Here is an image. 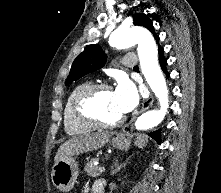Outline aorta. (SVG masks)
<instances>
[{"mask_svg":"<svg viewBox=\"0 0 221 193\" xmlns=\"http://www.w3.org/2000/svg\"><path fill=\"white\" fill-rule=\"evenodd\" d=\"M109 43L117 49L138 44L137 51L142 73L158 98L160 109L151 110L139 116L135 122V128L147 130L157 126L167 113L169 100L166 81L158 64V50L153 36L140 27L119 28L110 35Z\"/></svg>","mask_w":221,"mask_h":193,"instance_id":"762f6f07","label":"aorta"}]
</instances>
